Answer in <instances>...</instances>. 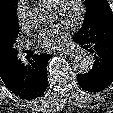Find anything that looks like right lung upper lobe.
Instances as JSON below:
<instances>
[{"mask_svg":"<svg viewBox=\"0 0 113 113\" xmlns=\"http://www.w3.org/2000/svg\"><path fill=\"white\" fill-rule=\"evenodd\" d=\"M17 0H0V77L4 79L14 58L8 47L10 29L15 19Z\"/></svg>","mask_w":113,"mask_h":113,"instance_id":"right-lung-upper-lobe-1","label":"right lung upper lobe"}]
</instances>
